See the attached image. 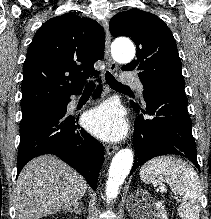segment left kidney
Listing matches in <instances>:
<instances>
[{
	"label": "left kidney",
	"mask_w": 211,
	"mask_h": 219,
	"mask_svg": "<svg viewBox=\"0 0 211 219\" xmlns=\"http://www.w3.org/2000/svg\"><path fill=\"white\" fill-rule=\"evenodd\" d=\"M149 219H167V213L162 202H155L153 204Z\"/></svg>",
	"instance_id": "1"
}]
</instances>
